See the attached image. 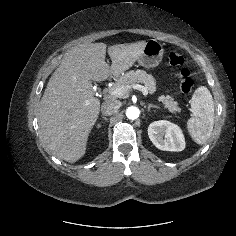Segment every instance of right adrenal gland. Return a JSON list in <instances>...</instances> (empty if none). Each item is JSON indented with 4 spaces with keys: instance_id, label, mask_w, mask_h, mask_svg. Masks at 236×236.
<instances>
[{
    "instance_id": "right-adrenal-gland-1",
    "label": "right adrenal gland",
    "mask_w": 236,
    "mask_h": 236,
    "mask_svg": "<svg viewBox=\"0 0 236 236\" xmlns=\"http://www.w3.org/2000/svg\"><path fill=\"white\" fill-rule=\"evenodd\" d=\"M101 118H102L103 120H105V121L108 120V118H106L105 116H101ZM97 127L99 128V127H100V124H98Z\"/></svg>"
}]
</instances>
